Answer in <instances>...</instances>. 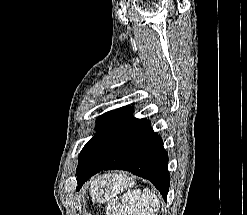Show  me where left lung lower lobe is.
Instances as JSON below:
<instances>
[{
	"label": "left lung lower lobe",
	"instance_id": "left-lung-lower-lobe-1",
	"mask_svg": "<svg viewBox=\"0 0 247 215\" xmlns=\"http://www.w3.org/2000/svg\"><path fill=\"white\" fill-rule=\"evenodd\" d=\"M132 115L130 107L110 128L84 146L76 169V190L96 173L118 169L148 179L167 200L168 154L149 121Z\"/></svg>",
	"mask_w": 247,
	"mask_h": 215
}]
</instances>
